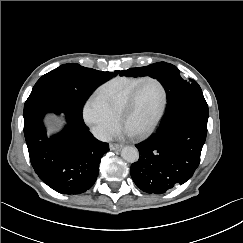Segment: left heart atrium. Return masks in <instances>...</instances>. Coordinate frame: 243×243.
<instances>
[{"label": "left heart atrium", "instance_id": "obj_1", "mask_svg": "<svg viewBox=\"0 0 243 243\" xmlns=\"http://www.w3.org/2000/svg\"><path fill=\"white\" fill-rule=\"evenodd\" d=\"M125 133L128 134V135H132V134H134L132 131H130V130L127 129V128H126V130H125Z\"/></svg>", "mask_w": 243, "mask_h": 243}]
</instances>
